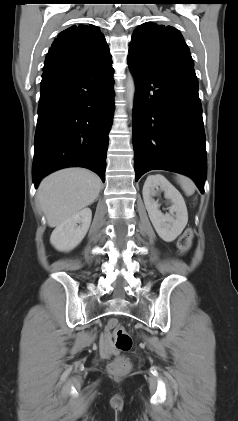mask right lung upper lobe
I'll use <instances>...</instances> for the list:
<instances>
[{
	"mask_svg": "<svg viewBox=\"0 0 238 421\" xmlns=\"http://www.w3.org/2000/svg\"><path fill=\"white\" fill-rule=\"evenodd\" d=\"M112 63L104 35L94 25L72 26L58 34L46 56L43 70Z\"/></svg>",
	"mask_w": 238,
	"mask_h": 421,
	"instance_id": "cb5924a9",
	"label": "right lung upper lobe"
}]
</instances>
